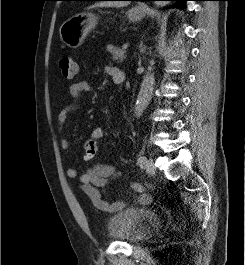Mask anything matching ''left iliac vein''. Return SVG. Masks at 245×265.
Returning <instances> with one entry per match:
<instances>
[{
    "mask_svg": "<svg viewBox=\"0 0 245 265\" xmlns=\"http://www.w3.org/2000/svg\"><path fill=\"white\" fill-rule=\"evenodd\" d=\"M146 172L150 175H154L156 173V166L152 159H148L145 163Z\"/></svg>",
    "mask_w": 245,
    "mask_h": 265,
    "instance_id": "1",
    "label": "left iliac vein"
}]
</instances>
